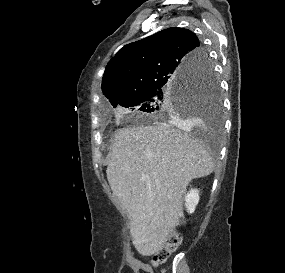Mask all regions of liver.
<instances>
[{
  "mask_svg": "<svg viewBox=\"0 0 285 273\" xmlns=\"http://www.w3.org/2000/svg\"><path fill=\"white\" fill-rule=\"evenodd\" d=\"M111 146L108 182L130 216L133 245L151 256L179 225L188 184L213 172V158L201 142L166 123L119 129Z\"/></svg>",
  "mask_w": 285,
  "mask_h": 273,
  "instance_id": "obj_1",
  "label": "liver"
}]
</instances>
